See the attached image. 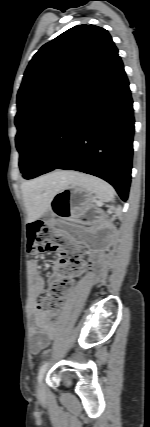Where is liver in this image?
Returning <instances> with one entry per match:
<instances>
[{
  "label": "liver",
  "mask_w": 150,
  "mask_h": 427,
  "mask_svg": "<svg viewBox=\"0 0 150 427\" xmlns=\"http://www.w3.org/2000/svg\"><path fill=\"white\" fill-rule=\"evenodd\" d=\"M76 176L75 172L55 171L23 182L21 190L28 219L34 221L40 218L50 208L54 195L63 187L74 182Z\"/></svg>",
  "instance_id": "liver-1"
}]
</instances>
